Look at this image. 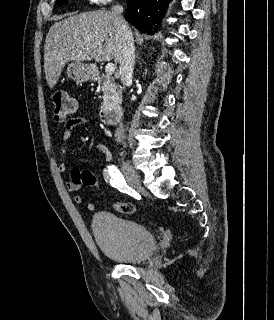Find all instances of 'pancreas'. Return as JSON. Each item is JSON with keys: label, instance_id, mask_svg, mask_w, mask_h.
Wrapping results in <instances>:
<instances>
[{"label": "pancreas", "instance_id": "1", "mask_svg": "<svg viewBox=\"0 0 274 320\" xmlns=\"http://www.w3.org/2000/svg\"><path fill=\"white\" fill-rule=\"evenodd\" d=\"M105 82L102 86L103 90V102L101 104V110H107V108H112V106H119L121 102V94L114 84V78L111 76H104Z\"/></svg>", "mask_w": 274, "mask_h": 320}]
</instances>
